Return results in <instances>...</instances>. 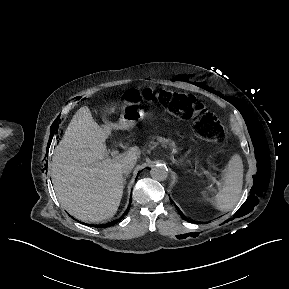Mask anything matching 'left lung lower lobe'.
Masks as SVG:
<instances>
[{
    "label": "left lung lower lobe",
    "mask_w": 289,
    "mask_h": 289,
    "mask_svg": "<svg viewBox=\"0 0 289 289\" xmlns=\"http://www.w3.org/2000/svg\"><path fill=\"white\" fill-rule=\"evenodd\" d=\"M176 206V205H175ZM176 209L178 210L179 214L181 215V217L187 221H189L185 216L184 214L180 211V209L176 206Z\"/></svg>",
    "instance_id": "1"
}]
</instances>
